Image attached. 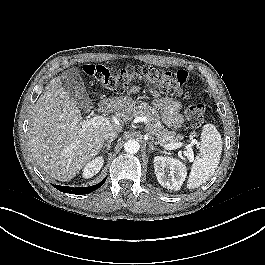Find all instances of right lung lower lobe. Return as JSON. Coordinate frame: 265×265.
I'll return each instance as SVG.
<instances>
[{"instance_id":"obj_1","label":"right lung lower lobe","mask_w":265,"mask_h":265,"mask_svg":"<svg viewBox=\"0 0 265 265\" xmlns=\"http://www.w3.org/2000/svg\"><path fill=\"white\" fill-rule=\"evenodd\" d=\"M106 179H104L102 182L90 186V187H68V186H60V185H55V188L58 189L61 192L65 193H70V194H77V195H83V194H88L90 192H93L94 190L98 189L100 186L104 184Z\"/></svg>"}]
</instances>
